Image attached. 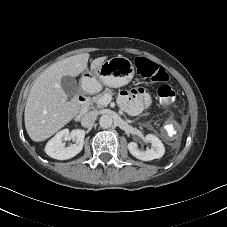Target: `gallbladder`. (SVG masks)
I'll list each match as a JSON object with an SVG mask.
<instances>
[{
    "label": "gallbladder",
    "instance_id": "1",
    "mask_svg": "<svg viewBox=\"0 0 227 227\" xmlns=\"http://www.w3.org/2000/svg\"><path fill=\"white\" fill-rule=\"evenodd\" d=\"M61 87L69 97L75 96L80 91L77 81L71 76L62 77Z\"/></svg>",
    "mask_w": 227,
    "mask_h": 227
}]
</instances>
